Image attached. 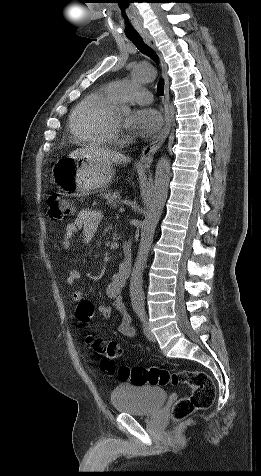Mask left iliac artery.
<instances>
[{
  "label": "left iliac artery",
  "mask_w": 261,
  "mask_h": 476,
  "mask_svg": "<svg viewBox=\"0 0 261 476\" xmlns=\"http://www.w3.org/2000/svg\"><path fill=\"white\" fill-rule=\"evenodd\" d=\"M134 310H135L136 314L138 315V317L140 318V320L143 321L144 317H145L144 306L143 305H138V306L134 307Z\"/></svg>",
  "instance_id": "left-iliac-artery-1"
}]
</instances>
